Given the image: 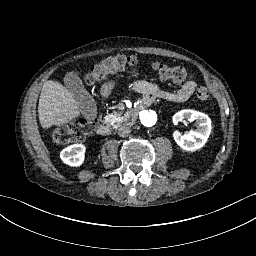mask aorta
I'll return each instance as SVG.
<instances>
[{
  "label": "aorta",
  "mask_w": 256,
  "mask_h": 256,
  "mask_svg": "<svg viewBox=\"0 0 256 256\" xmlns=\"http://www.w3.org/2000/svg\"><path fill=\"white\" fill-rule=\"evenodd\" d=\"M157 120V113L153 109H146L141 115V122L145 126H152Z\"/></svg>",
  "instance_id": "obj_1"
}]
</instances>
